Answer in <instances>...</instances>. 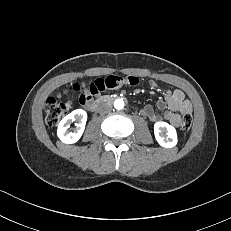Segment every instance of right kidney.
Wrapping results in <instances>:
<instances>
[{"instance_id": "ca27d5eb", "label": "right kidney", "mask_w": 231, "mask_h": 231, "mask_svg": "<svg viewBox=\"0 0 231 231\" xmlns=\"http://www.w3.org/2000/svg\"><path fill=\"white\" fill-rule=\"evenodd\" d=\"M75 123L76 128L73 132H69L68 129L72 122ZM87 121V113L82 109H77L65 116L58 125L57 135L59 139L65 144H72L77 142L85 129Z\"/></svg>"}]
</instances>
